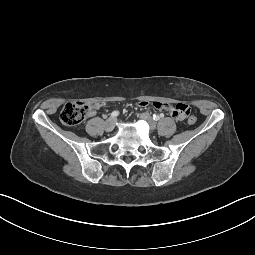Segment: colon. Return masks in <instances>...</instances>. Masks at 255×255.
<instances>
[{
  "mask_svg": "<svg viewBox=\"0 0 255 255\" xmlns=\"http://www.w3.org/2000/svg\"><path fill=\"white\" fill-rule=\"evenodd\" d=\"M91 108V105L82 101L68 102L61 111V120L68 126L79 125L89 115ZM187 121L189 124H194L196 122V117L194 115H189Z\"/></svg>",
  "mask_w": 255,
  "mask_h": 255,
  "instance_id": "1",
  "label": "colon"
}]
</instances>
